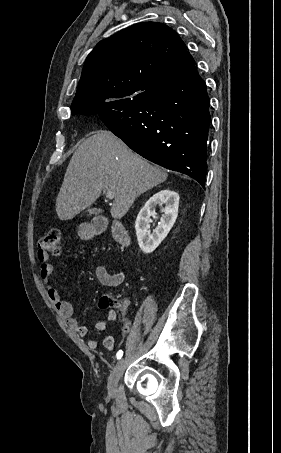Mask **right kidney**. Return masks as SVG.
Here are the masks:
<instances>
[{
    "instance_id": "1",
    "label": "right kidney",
    "mask_w": 281,
    "mask_h": 453,
    "mask_svg": "<svg viewBox=\"0 0 281 453\" xmlns=\"http://www.w3.org/2000/svg\"><path fill=\"white\" fill-rule=\"evenodd\" d=\"M179 198L178 192L165 188V190H159V192L150 196L141 208L136 218L135 229L138 245L143 253H153L159 247L161 241L167 237L177 218ZM157 204H165L162 210L164 214L160 218L158 227L153 229V233H150L149 222H152L150 216L156 214L155 206Z\"/></svg>"
}]
</instances>
